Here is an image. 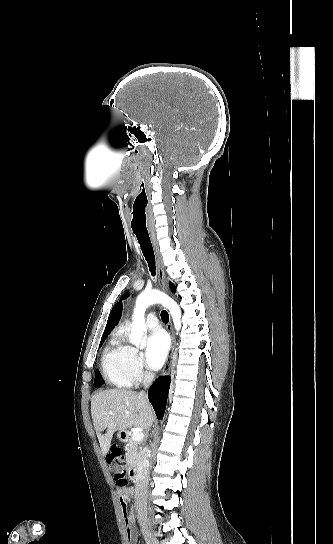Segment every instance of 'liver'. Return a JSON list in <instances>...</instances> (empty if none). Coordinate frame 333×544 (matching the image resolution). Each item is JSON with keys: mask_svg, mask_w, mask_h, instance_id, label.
<instances>
[{"mask_svg": "<svg viewBox=\"0 0 333 544\" xmlns=\"http://www.w3.org/2000/svg\"><path fill=\"white\" fill-rule=\"evenodd\" d=\"M91 414L103 456L109 452L115 431L132 426L146 429L155 420L147 397L125 389L104 390L92 396Z\"/></svg>", "mask_w": 333, "mask_h": 544, "instance_id": "liver-1", "label": "liver"}]
</instances>
